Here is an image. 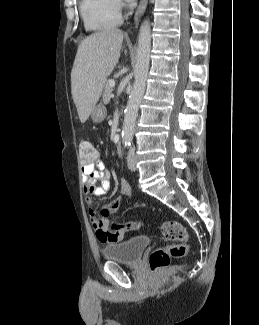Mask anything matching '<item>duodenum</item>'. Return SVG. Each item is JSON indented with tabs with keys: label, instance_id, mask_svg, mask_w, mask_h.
I'll use <instances>...</instances> for the list:
<instances>
[{
	"label": "duodenum",
	"instance_id": "obj_1",
	"mask_svg": "<svg viewBox=\"0 0 259 325\" xmlns=\"http://www.w3.org/2000/svg\"><path fill=\"white\" fill-rule=\"evenodd\" d=\"M122 145H123V141H122L121 139H118L117 142H116V150H117L118 152L121 151V149H122Z\"/></svg>",
	"mask_w": 259,
	"mask_h": 325
}]
</instances>
